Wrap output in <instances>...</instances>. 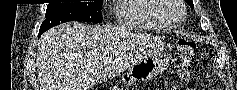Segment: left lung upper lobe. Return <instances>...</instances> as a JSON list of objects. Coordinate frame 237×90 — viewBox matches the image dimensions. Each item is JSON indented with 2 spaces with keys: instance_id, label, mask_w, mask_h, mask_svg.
<instances>
[{
  "instance_id": "5c2ea615",
  "label": "left lung upper lobe",
  "mask_w": 237,
  "mask_h": 90,
  "mask_svg": "<svg viewBox=\"0 0 237 90\" xmlns=\"http://www.w3.org/2000/svg\"><path fill=\"white\" fill-rule=\"evenodd\" d=\"M186 2H187L191 7H194V6H193V1H192V0H186Z\"/></svg>"
}]
</instances>
